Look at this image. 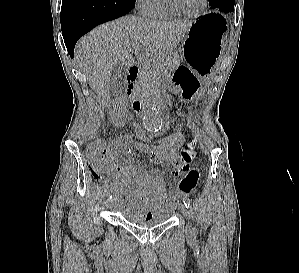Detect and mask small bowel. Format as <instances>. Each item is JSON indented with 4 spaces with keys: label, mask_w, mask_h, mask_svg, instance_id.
<instances>
[{
    "label": "small bowel",
    "mask_w": 299,
    "mask_h": 273,
    "mask_svg": "<svg viewBox=\"0 0 299 273\" xmlns=\"http://www.w3.org/2000/svg\"><path fill=\"white\" fill-rule=\"evenodd\" d=\"M110 122L115 127L131 129L130 132L122 134L128 141L141 133L136 125L125 122L119 112L113 111L110 114ZM182 146L183 143L164 149H142L141 151L153 155L158 165L170 166L171 175L177 178L190 170V163L195 155L194 145L190 144L183 148ZM130 147L131 145L128 144L121 150L108 151L104 156V163L108 168V181L112 189L123 197L124 209L149 217L155 209L173 208L179 196L175 191H167L162 179L142 174L137 164L126 166L119 164V157L130 155Z\"/></svg>",
    "instance_id": "c3829d8e"
}]
</instances>
